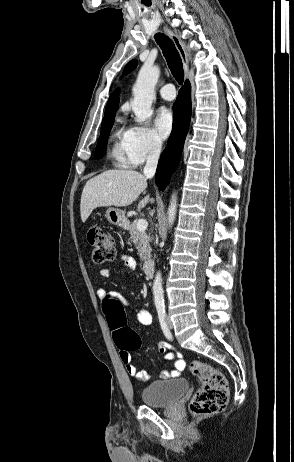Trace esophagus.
<instances>
[{"instance_id": "1", "label": "esophagus", "mask_w": 294, "mask_h": 462, "mask_svg": "<svg viewBox=\"0 0 294 462\" xmlns=\"http://www.w3.org/2000/svg\"><path fill=\"white\" fill-rule=\"evenodd\" d=\"M165 32L171 38V40L173 41L177 51L179 52V55H180L182 63H183L184 72H185V75L187 76L188 71H189V66H188V56H189V54H188L187 47H186L185 43L177 35H175L172 31H170L168 29H165Z\"/></svg>"}]
</instances>
